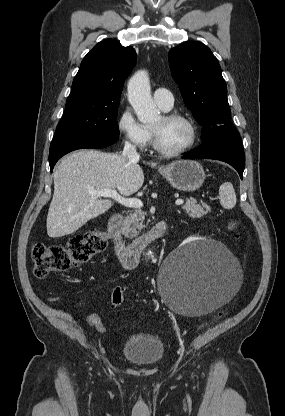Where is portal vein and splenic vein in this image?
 Returning a JSON list of instances; mask_svg holds the SVG:
<instances>
[{"label": "portal vein and splenic vein", "mask_w": 285, "mask_h": 416, "mask_svg": "<svg viewBox=\"0 0 285 416\" xmlns=\"http://www.w3.org/2000/svg\"><path fill=\"white\" fill-rule=\"evenodd\" d=\"M88 194L94 196V198H99V196H103V198H113L118 204L127 206V208H142L143 206V202L138 200V198H123L116 190H88ZM175 204L176 206H181V204H184V200H176Z\"/></svg>", "instance_id": "obj_1"}]
</instances>
